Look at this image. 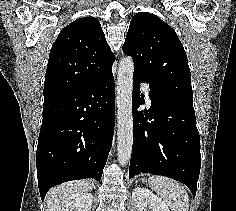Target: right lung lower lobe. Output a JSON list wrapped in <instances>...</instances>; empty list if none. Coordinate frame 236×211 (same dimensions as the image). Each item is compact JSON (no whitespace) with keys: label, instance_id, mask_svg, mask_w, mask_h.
<instances>
[{"label":"right lung lower lobe","instance_id":"obj_1","mask_svg":"<svg viewBox=\"0 0 236 211\" xmlns=\"http://www.w3.org/2000/svg\"><path fill=\"white\" fill-rule=\"evenodd\" d=\"M112 72L83 89L44 97L36 166L41 199L66 181L101 179L114 133Z\"/></svg>","mask_w":236,"mask_h":211}]
</instances>
